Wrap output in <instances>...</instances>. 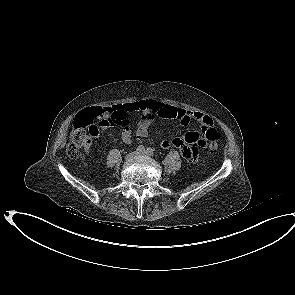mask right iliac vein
Instances as JSON below:
<instances>
[{"instance_id":"1","label":"right iliac vein","mask_w":295,"mask_h":295,"mask_svg":"<svg viewBox=\"0 0 295 295\" xmlns=\"http://www.w3.org/2000/svg\"><path fill=\"white\" fill-rule=\"evenodd\" d=\"M138 155V152H131L126 155L125 159L126 161H131L133 158H135Z\"/></svg>"}]
</instances>
